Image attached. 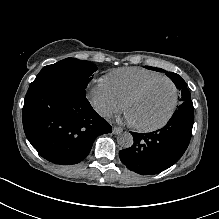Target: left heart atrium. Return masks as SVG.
Returning a JSON list of instances; mask_svg holds the SVG:
<instances>
[{
	"label": "left heart atrium",
	"instance_id": "39dd6f15",
	"mask_svg": "<svg viewBox=\"0 0 219 219\" xmlns=\"http://www.w3.org/2000/svg\"><path fill=\"white\" fill-rule=\"evenodd\" d=\"M124 120L128 123L134 124L133 119H132L131 115L128 112H126V114L124 115Z\"/></svg>",
	"mask_w": 219,
	"mask_h": 219
}]
</instances>
